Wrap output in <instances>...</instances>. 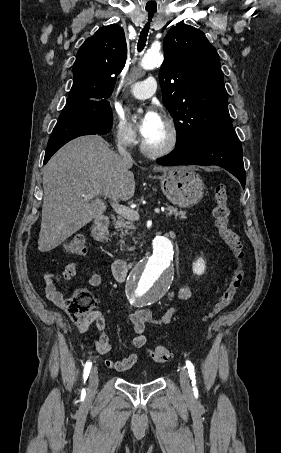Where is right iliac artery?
Segmentation results:
<instances>
[{
    "label": "right iliac artery",
    "mask_w": 281,
    "mask_h": 453,
    "mask_svg": "<svg viewBox=\"0 0 281 453\" xmlns=\"http://www.w3.org/2000/svg\"><path fill=\"white\" fill-rule=\"evenodd\" d=\"M91 366H92V362L87 361L85 364V367H84V374H83L84 382L87 380V378L89 376Z\"/></svg>",
    "instance_id": "82829eb1"
}]
</instances>
